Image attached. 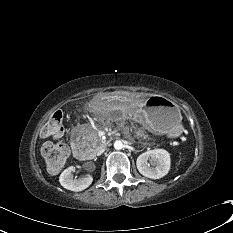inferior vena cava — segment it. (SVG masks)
<instances>
[{"label":"inferior vena cava","instance_id":"1","mask_svg":"<svg viewBox=\"0 0 233 233\" xmlns=\"http://www.w3.org/2000/svg\"><path fill=\"white\" fill-rule=\"evenodd\" d=\"M104 151H105L104 148H100V149L97 151L96 154L99 156V155H101Z\"/></svg>","mask_w":233,"mask_h":233}]
</instances>
